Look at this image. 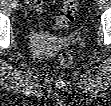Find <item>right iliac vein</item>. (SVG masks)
Listing matches in <instances>:
<instances>
[{
	"mask_svg": "<svg viewBox=\"0 0 111 106\" xmlns=\"http://www.w3.org/2000/svg\"><path fill=\"white\" fill-rule=\"evenodd\" d=\"M11 6H12V8L16 9L18 7L17 1H15V0L11 1Z\"/></svg>",
	"mask_w": 111,
	"mask_h": 106,
	"instance_id": "63e3f726",
	"label": "right iliac vein"
}]
</instances>
